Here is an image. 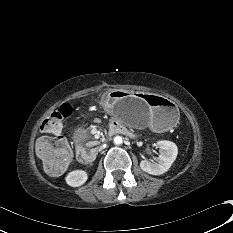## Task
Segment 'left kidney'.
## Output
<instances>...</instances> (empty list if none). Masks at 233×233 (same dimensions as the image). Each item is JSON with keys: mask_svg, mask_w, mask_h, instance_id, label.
<instances>
[{"mask_svg": "<svg viewBox=\"0 0 233 233\" xmlns=\"http://www.w3.org/2000/svg\"><path fill=\"white\" fill-rule=\"evenodd\" d=\"M159 147V158L157 162L142 160L140 167L143 171L151 175H161L169 170L172 163L175 161L178 148L175 143L167 140H161L156 143Z\"/></svg>", "mask_w": 233, "mask_h": 233, "instance_id": "obj_1", "label": "left kidney"}]
</instances>
